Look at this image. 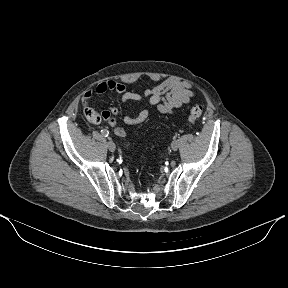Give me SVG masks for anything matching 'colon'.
<instances>
[{
  "label": "colon",
  "instance_id": "colon-1",
  "mask_svg": "<svg viewBox=\"0 0 288 288\" xmlns=\"http://www.w3.org/2000/svg\"><path fill=\"white\" fill-rule=\"evenodd\" d=\"M202 112H203V107L199 104L194 105L190 109L189 118H188L190 125L192 126L195 125L196 120L201 116ZM84 114L87 120L91 123H99L103 119L102 114L98 113L97 111H95L94 109L90 107L85 108Z\"/></svg>",
  "mask_w": 288,
  "mask_h": 288
}]
</instances>
